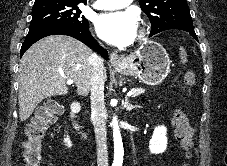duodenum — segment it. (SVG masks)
I'll return each instance as SVG.
<instances>
[{"instance_id": "410a0bca", "label": "duodenum", "mask_w": 227, "mask_h": 166, "mask_svg": "<svg viewBox=\"0 0 227 166\" xmlns=\"http://www.w3.org/2000/svg\"><path fill=\"white\" fill-rule=\"evenodd\" d=\"M82 105L79 101H73L70 107V119L74 128L80 133V136L84 139H88L87 133L84 131L82 125L77 120V115L81 111Z\"/></svg>"}]
</instances>
